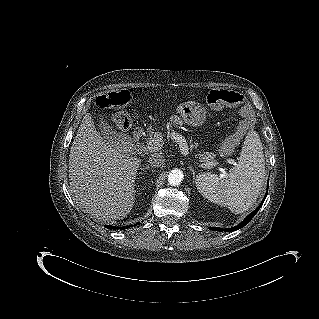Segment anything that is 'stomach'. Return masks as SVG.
<instances>
[{
	"label": "stomach",
	"instance_id": "1",
	"mask_svg": "<svg viewBox=\"0 0 319 319\" xmlns=\"http://www.w3.org/2000/svg\"><path fill=\"white\" fill-rule=\"evenodd\" d=\"M183 120L192 126H201L205 122V109L198 105L185 103L179 108Z\"/></svg>",
	"mask_w": 319,
	"mask_h": 319
}]
</instances>
